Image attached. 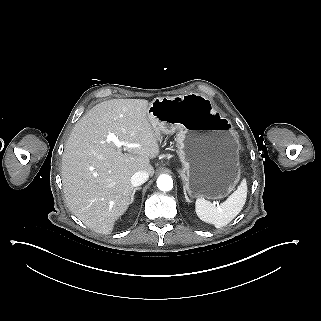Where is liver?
<instances>
[{
    "label": "liver",
    "mask_w": 321,
    "mask_h": 321,
    "mask_svg": "<svg viewBox=\"0 0 321 321\" xmlns=\"http://www.w3.org/2000/svg\"><path fill=\"white\" fill-rule=\"evenodd\" d=\"M145 99H112L90 109L74 126L62 156V183L68 208L89 229L110 234L130 204L131 177L150 176V159L159 154ZM137 147L117 148L106 137Z\"/></svg>",
    "instance_id": "6515ba94"
}]
</instances>
